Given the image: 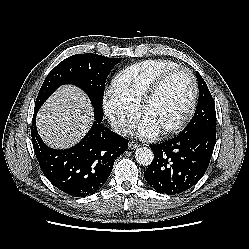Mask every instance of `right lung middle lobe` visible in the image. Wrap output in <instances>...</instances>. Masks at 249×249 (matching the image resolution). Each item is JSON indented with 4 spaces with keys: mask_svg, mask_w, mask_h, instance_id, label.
<instances>
[{
    "mask_svg": "<svg viewBox=\"0 0 249 249\" xmlns=\"http://www.w3.org/2000/svg\"><path fill=\"white\" fill-rule=\"evenodd\" d=\"M122 58L101 55L76 54L60 62L47 75L38 93L34 112L37 113L45 100L61 85L73 84L81 88L91 100L94 117L102 120V101L106 78Z\"/></svg>",
    "mask_w": 249,
    "mask_h": 249,
    "instance_id": "obj_1",
    "label": "right lung middle lobe"
}]
</instances>
